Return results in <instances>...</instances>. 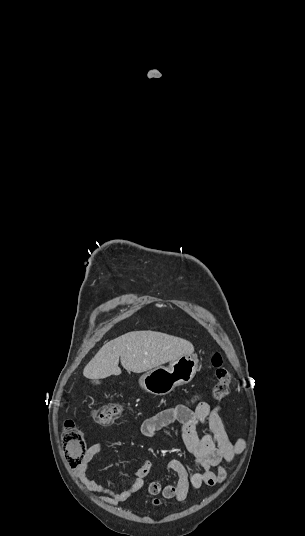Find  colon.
<instances>
[{
	"mask_svg": "<svg viewBox=\"0 0 305 536\" xmlns=\"http://www.w3.org/2000/svg\"><path fill=\"white\" fill-rule=\"evenodd\" d=\"M212 365L215 369L216 382L214 385V397L216 400L224 399L229 392L231 384V373L228 367L224 364L223 357L220 352H214L211 357ZM121 413L120 404H101L94 406L91 410V416L95 422L100 424H110L116 420ZM65 431L63 433V444L66 447L64 452L65 468L67 471H78L80 463L84 461V452L86 447L85 437L76 427L74 421H66L64 423ZM152 506H161L160 498L152 497L149 500ZM166 505L171 506L174 503L173 498L168 497L165 500Z\"/></svg>",
	"mask_w": 305,
	"mask_h": 536,
	"instance_id": "colon-1",
	"label": "colon"
}]
</instances>
